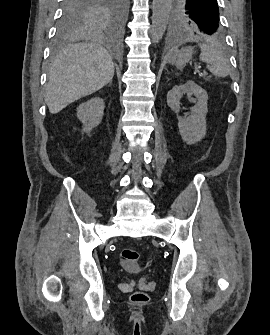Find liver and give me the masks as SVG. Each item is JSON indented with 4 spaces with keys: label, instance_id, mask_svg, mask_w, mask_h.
I'll return each mask as SVG.
<instances>
[{
    "label": "liver",
    "instance_id": "1",
    "mask_svg": "<svg viewBox=\"0 0 270 335\" xmlns=\"http://www.w3.org/2000/svg\"><path fill=\"white\" fill-rule=\"evenodd\" d=\"M114 76L112 58L101 44H71L56 56L49 70L45 102L50 114L90 96L109 84Z\"/></svg>",
    "mask_w": 270,
    "mask_h": 335
}]
</instances>
